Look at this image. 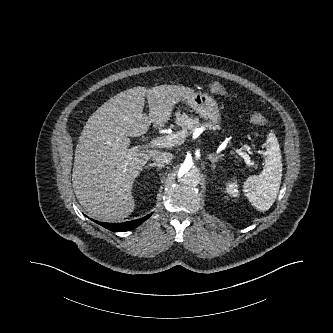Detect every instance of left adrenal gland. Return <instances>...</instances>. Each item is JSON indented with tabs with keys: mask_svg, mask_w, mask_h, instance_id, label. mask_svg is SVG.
Wrapping results in <instances>:
<instances>
[{
	"mask_svg": "<svg viewBox=\"0 0 333 333\" xmlns=\"http://www.w3.org/2000/svg\"><path fill=\"white\" fill-rule=\"evenodd\" d=\"M209 160L211 161V163H212V169H215V167H216V162H217V157H215L214 155H209Z\"/></svg>",
	"mask_w": 333,
	"mask_h": 333,
	"instance_id": "1",
	"label": "left adrenal gland"
}]
</instances>
